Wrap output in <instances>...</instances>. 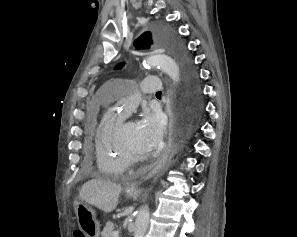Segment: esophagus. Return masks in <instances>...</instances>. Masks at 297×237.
<instances>
[{
  "label": "esophagus",
  "instance_id": "34e87169",
  "mask_svg": "<svg viewBox=\"0 0 297 237\" xmlns=\"http://www.w3.org/2000/svg\"><path fill=\"white\" fill-rule=\"evenodd\" d=\"M168 115H169V129H168V141H167V146L164 150V152L162 153V155L160 156V158L158 159V161L156 162V164L153 166V168L151 169V171L146 175L143 176L141 180L138 181H131L126 185V189L128 191H137L138 186L145 180L151 178L152 176H154L164 165V163L167 161L169 153H170V149L173 143V136H172V114L171 112L168 110Z\"/></svg>",
  "mask_w": 297,
  "mask_h": 237
}]
</instances>
